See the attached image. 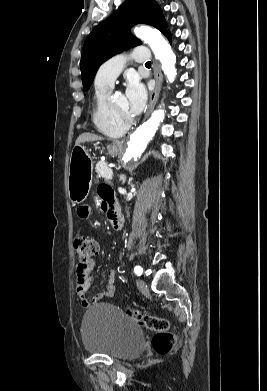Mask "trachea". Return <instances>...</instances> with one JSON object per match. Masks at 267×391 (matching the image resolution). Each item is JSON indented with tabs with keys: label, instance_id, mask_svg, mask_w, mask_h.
<instances>
[{
	"label": "trachea",
	"instance_id": "3493384b",
	"mask_svg": "<svg viewBox=\"0 0 267 391\" xmlns=\"http://www.w3.org/2000/svg\"><path fill=\"white\" fill-rule=\"evenodd\" d=\"M145 65H146V66H151V62L148 61V62L145 63Z\"/></svg>",
	"mask_w": 267,
	"mask_h": 391
}]
</instances>
